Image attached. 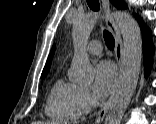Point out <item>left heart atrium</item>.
<instances>
[{
  "label": "left heart atrium",
  "mask_w": 156,
  "mask_h": 124,
  "mask_svg": "<svg viewBox=\"0 0 156 124\" xmlns=\"http://www.w3.org/2000/svg\"><path fill=\"white\" fill-rule=\"evenodd\" d=\"M116 81V69L112 63L102 61L95 67L93 90L98 98L106 97L114 87Z\"/></svg>",
  "instance_id": "1"
}]
</instances>
